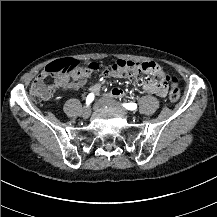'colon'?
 <instances>
[{
    "label": "colon",
    "instance_id": "colon-1",
    "mask_svg": "<svg viewBox=\"0 0 217 217\" xmlns=\"http://www.w3.org/2000/svg\"><path fill=\"white\" fill-rule=\"evenodd\" d=\"M81 65L75 58L60 59L53 64H50L37 75V79L32 84V93L39 100H46L54 94V87L60 82H64L68 78V73H75L81 69ZM107 67L112 71H124L129 73L147 74L155 78L157 81H162L166 76L164 69L155 62L138 63L131 60L119 59L110 63ZM171 77V76H170ZM172 79H175L171 77ZM170 88L169 99L172 102L178 101L180 98V89L178 82H174ZM178 88V89H174Z\"/></svg>",
    "mask_w": 217,
    "mask_h": 217
}]
</instances>
